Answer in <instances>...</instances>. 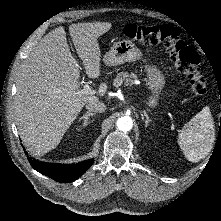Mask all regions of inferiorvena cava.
<instances>
[{
  "label": "inferior vena cava",
  "mask_w": 221,
  "mask_h": 221,
  "mask_svg": "<svg viewBox=\"0 0 221 221\" xmlns=\"http://www.w3.org/2000/svg\"><path fill=\"white\" fill-rule=\"evenodd\" d=\"M86 109L91 112H104L106 110V106L104 103L98 101V100H91L85 105Z\"/></svg>",
  "instance_id": "1"
}]
</instances>
